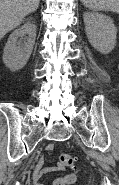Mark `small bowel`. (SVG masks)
Listing matches in <instances>:
<instances>
[{
  "label": "small bowel",
  "instance_id": "1",
  "mask_svg": "<svg viewBox=\"0 0 119 185\" xmlns=\"http://www.w3.org/2000/svg\"><path fill=\"white\" fill-rule=\"evenodd\" d=\"M54 146L52 144H49L47 146L48 151H53ZM64 169L63 166L60 164H57L53 167H43V159H39L37 162L36 167L33 170L32 173V180L34 185H45L44 184V175L49 173H56L60 172ZM76 181V176L74 174H67V175H59L57 176L52 185H69L73 184Z\"/></svg>",
  "mask_w": 119,
  "mask_h": 185
}]
</instances>
